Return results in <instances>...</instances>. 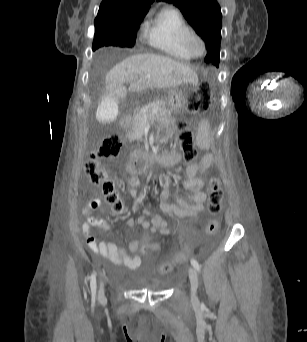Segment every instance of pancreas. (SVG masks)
Returning <instances> with one entry per match:
<instances>
[{
  "label": "pancreas",
  "instance_id": "1",
  "mask_svg": "<svg viewBox=\"0 0 307 342\" xmlns=\"http://www.w3.org/2000/svg\"><path fill=\"white\" fill-rule=\"evenodd\" d=\"M145 110V114H143V112H137L134 116L133 130L134 132H138V134H143V130L146 126V120L149 116L154 119H168L170 117L166 108L165 100H155V102H150L148 106H145ZM151 112L154 113L151 114Z\"/></svg>",
  "mask_w": 307,
  "mask_h": 342
}]
</instances>
